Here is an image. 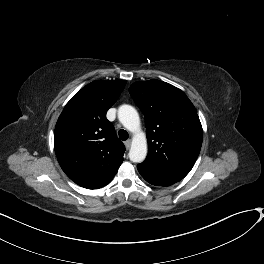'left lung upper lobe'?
<instances>
[{
	"label": "left lung upper lobe",
	"mask_w": 264,
	"mask_h": 264,
	"mask_svg": "<svg viewBox=\"0 0 264 264\" xmlns=\"http://www.w3.org/2000/svg\"><path fill=\"white\" fill-rule=\"evenodd\" d=\"M129 92L145 116L148 155L137 167L172 181L183 179L199 155L203 131L186 94L160 80L139 81Z\"/></svg>",
	"instance_id": "1"
}]
</instances>
